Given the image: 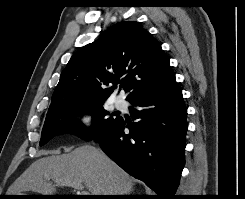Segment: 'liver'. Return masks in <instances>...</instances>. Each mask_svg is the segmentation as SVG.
<instances>
[{
  "mask_svg": "<svg viewBox=\"0 0 245 199\" xmlns=\"http://www.w3.org/2000/svg\"><path fill=\"white\" fill-rule=\"evenodd\" d=\"M78 181L91 195H129L133 179L101 150L84 145L71 153L40 158L13 183L9 193L20 195L33 191L53 195L55 185L50 181Z\"/></svg>",
  "mask_w": 245,
  "mask_h": 199,
  "instance_id": "1",
  "label": "liver"
}]
</instances>
